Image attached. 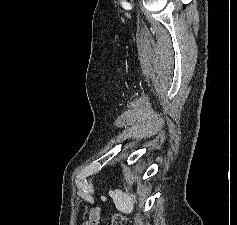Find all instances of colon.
<instances>
[{"label":"colon","instance_id":"1","mask_svg":"<svg viewBox=\"0 0 237 225\" xmlns=\"http://www.w3.org/2000/svg\"><path fill=\"white\" fill-rule=\"evenodd\" d=\"M100 209L98 207L92 208L89 213V218L87 221L82 223V225H98L100 221ZM108 225H131L130 222L120 214L113 215Z\"/></svg>","mask_w":237,"mask_h":225}]
</instances>
